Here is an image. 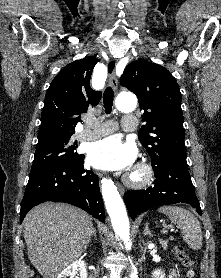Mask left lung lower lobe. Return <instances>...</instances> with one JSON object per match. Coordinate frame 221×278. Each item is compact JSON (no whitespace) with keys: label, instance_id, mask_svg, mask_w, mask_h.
<instances>
[{"label":"left lung lower lobe","instance_id":"1","mask_svg":"<svg viewBox=\"0 0 221 278\" xmlns=\"http://www.w3.org/2000/svg\"><path fill=\"white\" fill-rule=\"evenodd\" d=\"M153 170L155 175L153 187L146 190H129L124 194L126 207L133 220L151 208L175 203H187L202 215L186 158H173Z\"/></svg>","mask_w":221,"mask_h":278}]
</instances>
